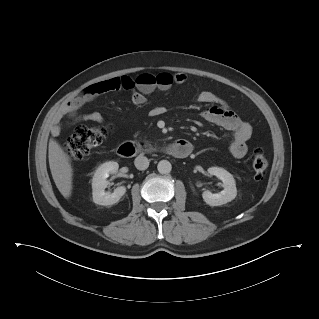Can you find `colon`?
<instances>
[{
    "instance_id": "5ec220e1",
    "label": "colon",
    "mask_w": 319,
    "mask_h": 319,
    "mask_svg": "<svg viewBox=\"0 0 319 319\" xmlns=\"http://www.w3.org/2000/svg\"><path fill=\"white\" fill-rule=\"evenodd\" d=\"M160 74L145 73L138 76L135 80L125 81L121 88L124 90L138 87L140 89H149L159 84ZM109 133L108 126L76 128L74 133L69 136L64 144L67 156L71 160H79L91 153L96 147L101 145ZM268 168V158L264 151L256 150L252 156V170L257 180L264 178Z\"/></svg>"
}]
</instances>
